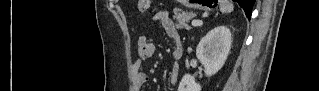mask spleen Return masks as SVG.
Instances as JSON below:
<instances>
[{"instance_id":"obj_1","label":"spleen","mask_w":319,"mask_h":91,"mask_svg":"<svg viewBox=\"0 0 319 91\" xmlns=\"http://www.w3.org/2000/svg\"><path fill=\"white\" fill-rule=\"evenodd\" d=\"M233 4L227 0H221L220 1V11L222 13H230L233 11Z\"/></svg>"}]
</instances>
